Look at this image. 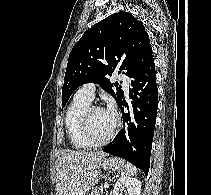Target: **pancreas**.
Here are the masks:
<instances>
[{
  "label": "pancreas",
  "instance_id": "obj_1",
  "mask_svg": "<svg viewBox=\"0 0 211 195\" xmlns=\"http://www.w3.org/2000/svg\"><path fill=\"white\" fill-rule=\"evenodd\" d=\"M103 190V186H99L98 188L93 190L89 195H102Z\"/></svg>",
  "mask_w": 211,
  "mask_h": 195
}]
</instances>
